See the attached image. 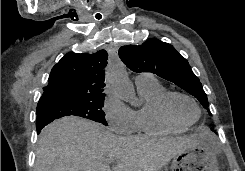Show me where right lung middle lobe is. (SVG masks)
Returning <instances> with one entry per match:
<instances>
[{
  "label": "right lung middle lobe",
  "instance_id": "1",
  "mask_svg": "<svg viewBox=\"0 0 245 171\" xmlns=\"http://www.w3.org/2000/svg\"><path fill=\"white\" fill-rule=\"evenodd\" d=\"M105 94L94 97H73L48 99L38 104L37 116L43 115L53 119L75 115L107 125L104 106Z\"/></svg>",
  "mask_w": 245,
  "mask_h": 171
}]
</instances>
